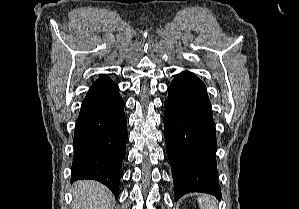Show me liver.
<instances>
[{"instance_id":"obj_1","label":"liver","mask_w":299,"mask_h":209,"mask_svg":"<svg viewBox=\"0 0 299 209\" xmlns=\"http://www.w3.org/2000/svg\"><path fill=\"white\" fill-rule=\"evenodd\" d=\"M73 209H113L114 197L102 184L81 180L74 184Z\"/></svg>"}]
</instances>
